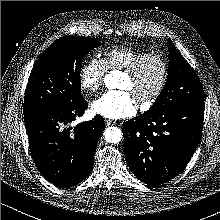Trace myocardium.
<instances>
[{
    "mask_svg": "<svg viewBox=\"0 0 220 220\" xmlns=\"http://www.w3.org/2000/svg\"><path fill=\"white\" fill-rule=\"evenodd\" d=\"M150 63H157L161 69V76L156 87L148 94H141L138 96V101L145 105H152L162 94L169 77V66L167 61L159 55H148L138 61L131 68L124 71L128 77L135 79L146 69Z\"/></svg>",
    "mask_w": 220,
    "mask_h": 220,
    "instance_id": "myocardium-1",
    "label": "myocardium"
}]
</instances>
